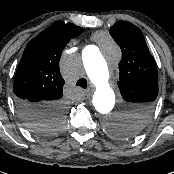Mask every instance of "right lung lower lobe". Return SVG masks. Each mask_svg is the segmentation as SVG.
I'll return each instance as SVG.
<instances>
[{"label":"right lung lower lobe","mask_w":174,"mask_h":174,"mask_svg":"<svg viewBox=\"0 0 174 174\" xmlns=\"http://www.w3.org/2000/svg\"><path fill=\"white\" fill-rule=\"evenodd\" d=\"M16 106L20 116L26 121V117H29L35 113L45 112L52 108L61 107V103H47L43 101H30V100H16Z\"/></svg>","instance_id":"right-lung-lower-lobe-1"}]
</instances>
